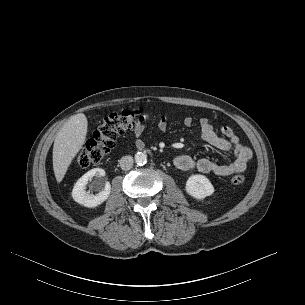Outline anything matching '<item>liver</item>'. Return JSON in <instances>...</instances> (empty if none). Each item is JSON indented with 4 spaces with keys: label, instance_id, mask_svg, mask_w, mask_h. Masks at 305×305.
<instances>
[{
    "label": "liver",
    "instance_id": "6515ba94",
    "mask_svg": "<svg viewBox=\"0 0 305 305\" xmlns=\"http://www.w3.org/2000/svg\"><path fill=\"white\" fill-rule=\"evenodd\" d=\"M87 118L83 113L72 116L59 130L53 145V170L60 183L72 160L82 148L87 134Z\"/></svg>",
    "mask_w": 305,
    "mask_h": 305
}]
</instances>
